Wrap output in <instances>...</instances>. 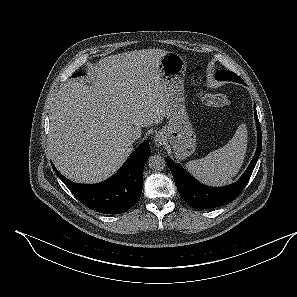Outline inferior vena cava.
Returning a JSON list of instances; mask_svg holds the SVG:
<instances>
[{"mask_svg":"<svg viewBox=\"0 0 297 297\" xmlns=\"http://www.w3.org/2000/svg\"><path fill=\"white\" fill-rule=\"evenodd\" d=\"M141 136V131L137 128L130 129L126 134V140L128 142H135L137 139H139Z\"/></svg>","mask_w":297,"mask_h":297,"instance_id":"obj_1","label":"inferior vena cava"}]
</instances>
